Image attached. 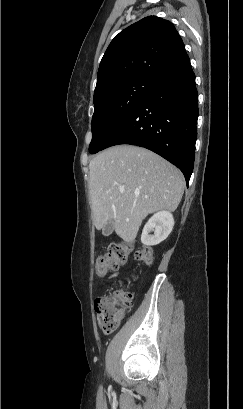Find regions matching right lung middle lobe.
Here are the masks:
<instances>
[{"label": "right lung middle lobe", "instance_id": "1", "mask_svg": "<svg viewBox=\"0 0 243 409\" xmlns=\"http://www.w3.org/2000/svg\"><path fill=\"white\" fill-rule=\"evenodd\" d=\"M156 81L136 78L114 86L94 101L91 154L105 149L111 135L133 113Z\"/></svg>", "mask_w": 243, "mask_h": 409}]
</instances>
